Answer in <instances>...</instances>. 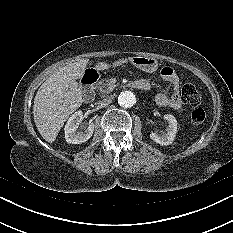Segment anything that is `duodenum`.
I'll list each match as a JSON object with an SVG mask.
<instances>
[{
  "mask_svg": "<svg viewBox=\"0 0 233 233\" xmlns=\"http://www.w3.org/2000/svg\"><path fill=\"white\" fill-rule=\"evenodd\" d=\"M99 75L95 71H90L84 74L82 77V88H83V97L86 102H91L94 99L95 95V85L98 81ZM133 87L139 90H146L147 84L143 80H137L130 82V80L125 79L123 82H116V89H125L128 87Z\"/></svg>",
  "mask_w": 233,
  "mask_h": 233,
  "instance_id": "obj_1",
  "label": "duodenum"
}]
</instances>
